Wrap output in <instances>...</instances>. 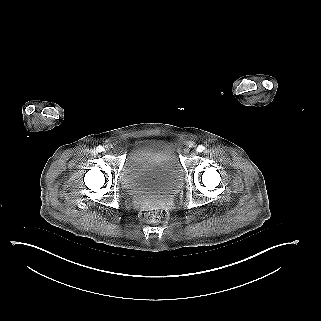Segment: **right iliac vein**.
Masks as SVG:
<instances>
[{"label": "right iliac vein", "instance_id": "obj_1", "mask_svg": "<svg viewBox=\"0 0 321 321\" xmlns=\"http://www.w3.org/2000/svg\"><path fill=\"white\" fill-rule=\"evenodd\" d=\"M108 151H109V148L105 147L104 152H108Z\"/></svg>", "mask_w": 321, "mask_h": 321}]
</instances>
